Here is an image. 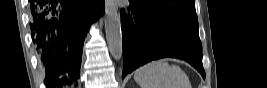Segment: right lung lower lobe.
Wrapping results in <instances>:
<instances>
[{
	"instance_id": "1",
	"label": "right lung lower lobe",
	"mask_w": 267,
	"mask_h": 88,
	"mask_svg": "<svg viewBox=\"0 0 267 88\" xmlns=\"http://www.w3.org/2000/svg\"><path fill=\"white\" fill-rule=\"evenodd\" d=\"M103 9L104 0H30L31 36L48 86L79 78L86 33Z\"/></svg>"
}]
</instances>
